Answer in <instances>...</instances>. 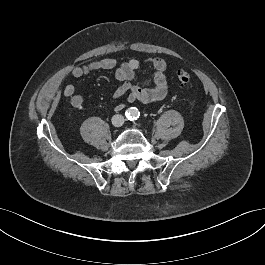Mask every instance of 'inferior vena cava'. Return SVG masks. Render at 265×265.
<instances>
[{
	"label": "inferior vena cava",
	"instance_id": "602c4592",
	"mask_svg": "<svg viewBox=\"0 0 265 265\" xmlns=\"http://www.w3.org/2000/svg\"><path fill=\"white\" fill-rule=\"evenodd\" d=\"M112 122L115 126H121L124 123V117L122 115H114Z\"/></svg>",
	"mask_w": 265,
	"mask_h": 265
}]
</instances>
